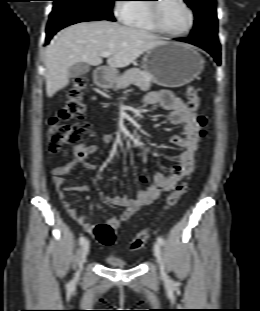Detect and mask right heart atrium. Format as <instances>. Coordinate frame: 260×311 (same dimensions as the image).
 Instances as JSON below:
<instances>
[{
    "mask_svg": "<svg viewBox=\"0 0 260 311\" xmlns=\"http://www.w3.org/2000/svg\"><path fill=\"white\" fill-rule=\"evenodd\" d=\"M130 7L124 0H117L114 7L115 15L122 21H125Z\"/></svg>",
    "mask_w": 260,
    "mask_h": 311,
    "instance_id": "d8ad5b80",
    "label": "right heart atrium"
}]
</instances>
